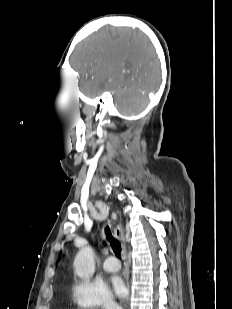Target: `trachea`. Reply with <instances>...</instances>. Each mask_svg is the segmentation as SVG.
Wrapping results in <instances>:
<instances>
[{
  "label": "trachea",
  "mask_w": 232,
  "mask_h": 309,
  "mask_svg": "<svg viewBox=\"0 0 232 309\" xmlns=\"http://www.w3.org/2000/svg\"><path fill=\"white\" fill-rule=\"evenodd\" d=\"M106 238L111 244V247L118 258H121V244L119 241L115 240L111 234L109 227L105 228Z\"/></svg>",
  "instance_id": "3493384b"
}]
</instances>
